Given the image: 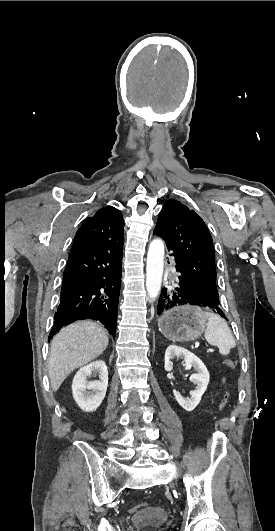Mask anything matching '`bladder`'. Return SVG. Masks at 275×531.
<instances>
[{"label": "bladder", "instance_id": "31cf9c89", "mask_svg": "<svg viewBox=\"0 0 275 531\" xmlns=\"http://www.w3.org/2000/svg\"><path fill=\"white\" fill-rule=\"evenodd\" d=\"M169 513L159 504L148 505L133 515L136 531H157V526L165 524Z\"/></svg>", "mask_w": 275, "mask_h": 531}]
</instances>
